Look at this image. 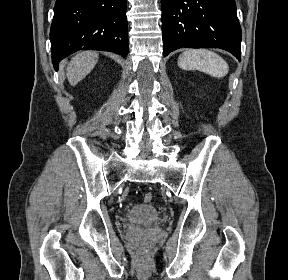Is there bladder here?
<instances>
[{
	"mask_svg": "<svg viewBox=\"0 0 288 280\" xmlns=\"http://www.w3.org/2000/svg\"><path fill=\"white\" fill-rule=\"evenodd\" d=\"M159 211L151 205L135 204L126 212V219L138 225H150L159 219Z\"/></svg>",
	"mask_w": 288,
	"mask_h": 280,
	"instance_id": "31cf9c89",
	"label": "bladder"
}]
</instances>
